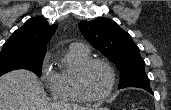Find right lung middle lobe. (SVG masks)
<instances>
[{
    "label": "right lung middle lobe",
    "instance_id": "obj_1",
    "mask_svg": "<svg viewBox=\"0 0 171 110\" xmlns=\"http://www.w3.org/2000/svg\"><path fill=\"white\" fill-rule=\"evenodd\" d=\"M45 54L25 52L16 47H3L0 53V76L16 69H27L41 76Z\"/></svg>",
    "mask_w": 171,
    "mask_h": 110
}]
</instances>
